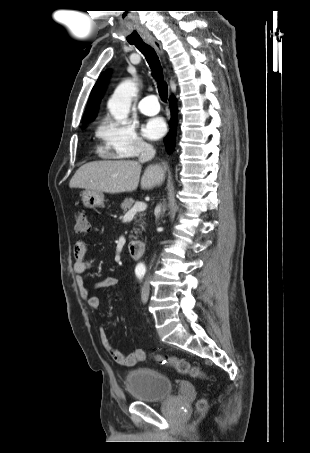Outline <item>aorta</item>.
<instances>
[{"label":"aorta","mask_w":310,"mask_h":453,"mask_svg":"<svg viewBox=\"0 0 310 453\" xmlns=\"http://www.w3.org/2000/svg\"><path fill=\"white\" fill-rule=\"evenodd\" d=\"M136 93V84L131 79L125 80L117 86L108 101V109L117 121L125 120L128 117L131 102ZM137 267L143 268L144 265L139 263Z\"/></svg>","instance_id":"762f6f07"}]
</instances>
